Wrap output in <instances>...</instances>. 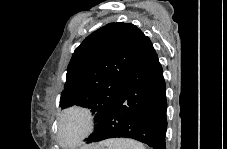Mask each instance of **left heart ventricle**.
<instances>
[{
	"mask_svg": "<svg viewBox=\"0 0 227 149\" xmlns=\"http://www.w3.org/2000/svg\"><path fill=\"white\" fill-rule=\"evenodd\" d=\"M81 128V123L78 120H73L70 122L65 131V136L67 139L73 137Z\"/></svg>",
	"mask_w": 227,
	"mask_h": 149,
	"instance_id": "1",
	"label": "left heart ventricle"
}]
</instances>
